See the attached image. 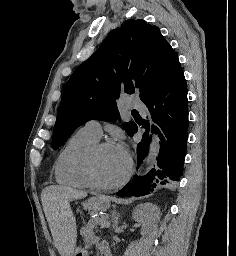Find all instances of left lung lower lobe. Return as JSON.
I'll return each mask as SVG.
<instances>
[{"label": "left lung lower lobe", "instance_id": "left-lung-lower-lobe-1", "mask_svg": "<svg viewBox=\"0 0 236 256\" xmlns=\"http://www.w3.org/2000/svg\"><path fill=\"white\" fill-rule=\"evenodd\" d=\"M143 103L149 110V118L143 120L146 131L137 145V167L148 152L151 141L150 131L160 138V152L157 167L143 177L135 176L117 196H142L180 181L186 155L188 138L187 85L182 68L157 88ZM149 120L156 123L149 127ZM137 132V125L132 133ZM131 135V136H132Z\"/></svg>", "mask_w": 236, "mask_h": 256}]
</instances>
